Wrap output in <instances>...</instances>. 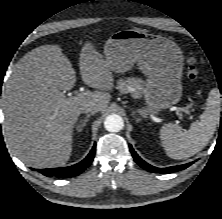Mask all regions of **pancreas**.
Listing matches in <instances>:
<instances>
[{
	"label": "pancreas",
	"instance_id": "1",
	"mask_svg": "<svg viewBox=\"0 0 222 219\" xmlns=\"http://www.w3.org/2000/svg\"><path fill=\"white\" fill-rule=\"evenodd\" d=\"M144 81L140 78H127L118 82L117 88L122 92L126 93L129 89H135V94L138 96L143 90Z\"/></svg>",
	"mask_w": 222,
	"mask_h": 219
}]
</instances>
